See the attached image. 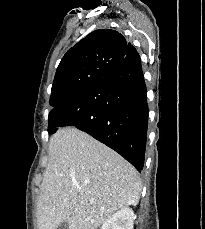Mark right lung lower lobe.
Returning <instances> with one entry per match:
<instances>
[{
    "label": "right lung lower lobe",
    "mask_w": 205,
    "mask_h": 229,
    "mask_svg": "<svg viewBox=\"0 0 205 229\" xmlns=\"http://www.w3.org/2000/svg\"><path fill=\"white\" fill-rule=\"evenodd\" d=\"M66 125L112 148L138 171L143 169L148 105L141 59L133 46L104 78L52 109L48 132Z\"/></svg>",
    "instance_id": "obj_1"
}]
</instances>
